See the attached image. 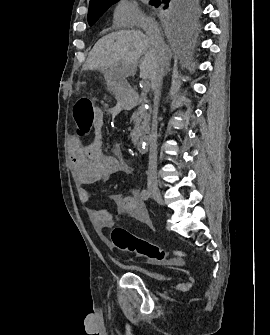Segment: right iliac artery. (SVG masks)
I'll use <instances>...</instances> for the list:
<instances>
[{
	"instance_id": "1",
	"label": "right iliac artery",
	"mask_w": 270,
	"mask_h": 335,
	"mask_svg": "<svg viewBox=\"0 0 270 335\" xmlns=\"http://www.w3.org/2000/svg\"><path fill=\"white\" fill-rule=\"evenodd\" d=\"M149 197H150L149 192H148L147 190H145V189L142 190V192H141V198H142L143 200H148Z\"/></svg>"
}]
</instances>
